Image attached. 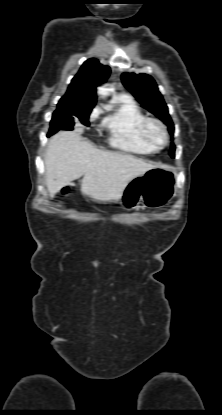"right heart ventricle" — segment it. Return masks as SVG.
Returning a JSON list of instances; mask_svg holds the SVG:
<instances>
[{"mask_svg":"<svg viewBox=\"0 0 222 415\" xmlns=\"http://www.w3.org/2000/svg\"><path fill=\"white\" fill-rule=\"evenodd\" d=\"M115 111L103 121L108 141L113 147L134 154H151L157 148L149 144L141 133V124L146 118L140 107L129 97L116 101Z\"/></svg>","mask_w":222,"mask_h":415,"instance_id":"right-heart-ventricle-1","label":"right heart ventricle"}]
</instances>
